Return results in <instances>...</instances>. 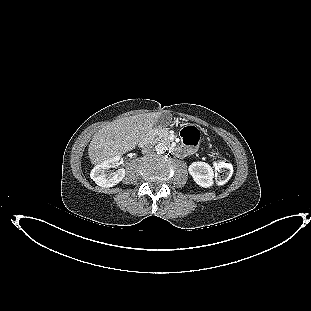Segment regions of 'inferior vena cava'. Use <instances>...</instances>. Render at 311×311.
Here are the masks:
<instances>
[{"label": "inferior vena cava", "mask_w": 311, "mask_h": 311, "mask_svg": "<svg viewBox=\"0 0 311 311\" xmlns=\"http://www.w3.org/2000/svg\"><path fill=\"white\" fill-rule=\"evenodd\" d=\"M154 148H153V146H151V145H147V146H145V147H143V149H142V154H146V155H150V154H153L154 153Z\"/></svg>", "instance_id": "inferior-vena-cava-1"}]
</instances>
